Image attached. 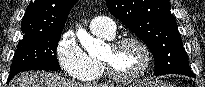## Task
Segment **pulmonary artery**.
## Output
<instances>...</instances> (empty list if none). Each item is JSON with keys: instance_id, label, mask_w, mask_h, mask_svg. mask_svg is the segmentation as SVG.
I'll return each mask as SVG.
<instances>
[{"instance_id": "1", "label": "pulmonary artery", "mask_w": 205, "mask_h": 87, "mask_svg": "<svg viewBox=\"0 0 205 87\" xmlns=\"http://www.w3.org/2000/svg\"><path fill=\"white\" fill-rule=\"evenodd\" d=\"M89 26L93 33H100L109 36H114L116 33L115 22L108 17H94L91 19Z\"/></svg>"}]
</instances>
